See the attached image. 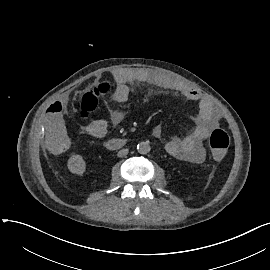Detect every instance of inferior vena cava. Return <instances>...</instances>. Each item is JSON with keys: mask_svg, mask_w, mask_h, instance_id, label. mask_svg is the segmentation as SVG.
Instances as JSON below:
<instances>
[{"mask_svg": "<svg viewBox=\"0 0 270 270\" xmlns=\"http://www.w3.org/2000/svg\"><path fill=\"white\" fill-rule=\"evenodd\" d=\"M128 154V149H121L119 152H118V157H123L125 155Z\"/></svg>", "mask_w": 270, "mask_h": 270, "instance_id": "1", "label": "inferior vena cava"}]
</instances>
